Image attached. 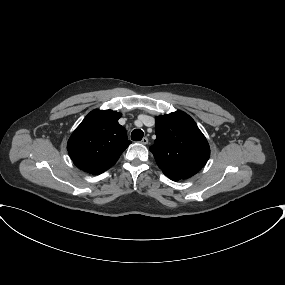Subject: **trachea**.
Listing matches in <instances>:
<instances>
[{"instance_id":"obj_1","label":"trachea","mask_w":285,"mask_h":285,"mask_svg":"<svg viewBox=\"0 0 285 285\" xmlns=\"http://www.w3.org/2000/svg\"><path fill=\"white\" fill-rule=\"evenodd\" d=\"M144 136V132L141 129H134L131 133V139L133 141H140Z\"/></svg>"}]
</instances>
